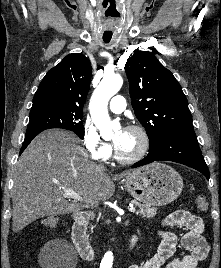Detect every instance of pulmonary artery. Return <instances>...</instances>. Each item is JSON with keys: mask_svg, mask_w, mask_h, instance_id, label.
I'll return each instance as SVG.
<instances>
[{"mask_svg": "<svg viewBox=\"0 0 221 268\" xmlns=\"http://www.w3.org/2000/svg\"><path fill=\"white\" fill-rule=\"evenodd\" d=\"M126 107V102L123 96L116 95L114 96L109 104V108L113 113L119 114L124 111Z\"/></svg>", "mask_w": 221, "mask_h": 268, "instance_id": "pulmonary-artery-1", "label": "pulmonary artery"}]
</instances>
